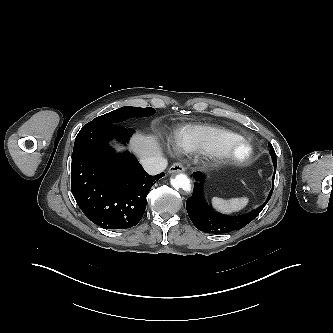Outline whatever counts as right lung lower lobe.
Listing matches in <instances>:
<instances>
[{
  "label": "right lung lower lobe",
  "mask_w": 333,
  "mask_h": 333,
  "mask_svg": "<svg viewBox=\"0 0 333 333\" xmlns=\"http://www.w3.org/2000/svg\"><path fill=\"white\" fill-rule=\"evenodd\" d=\"M133 129L118 124L87 123L74 143L72 194L88 219L106 229H127L138 224L146 196L164 173L151 176L130 153L115 154L109 141L127 142Z\"/></svg>",
  "instance_id": "98d812e1"
}]
</instances>
